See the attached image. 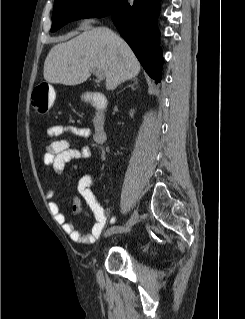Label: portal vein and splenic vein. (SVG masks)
I'll return each instance as SVG.
<instances>
[{
	"label": "portal vein and splenic vein",
	"instance_id": "obj_1",
	"mask_svg": "<svg viewBox=\"0 0 245 319\" xmlns=\"http://www.w3.org/2000/svg\"><path fill=\"white\" fill-rule=\"evenodd\" d=\"M92 72L99 80H103L105 78L104 72L100 69H93Z\"/></svg>",
	"mask_w": 245,
	"mask_h": 319
}]
</instances>
